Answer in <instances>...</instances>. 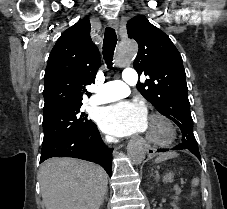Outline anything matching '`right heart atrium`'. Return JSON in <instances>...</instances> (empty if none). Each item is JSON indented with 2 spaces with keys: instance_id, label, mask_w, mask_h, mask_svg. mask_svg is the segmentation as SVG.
I'll use <instances>...</instances> for the list:
<instances>
[{
  "instance_id": "right-heart-atrium-1",
  "label": "right heart atrium",
  "mask_w": 227,
  "mask_h": 209,
  "mask_svg": "<svg viewBox=\"0 0 227 209\" xmlns=\"http://www.w3.org/2000/svg\"><path fill=\"white\" fill-rule=\"evenodd\" d=\"M106 142L109 143V144H112V143H115L116 142V139L113 138V137H107L106 138Z\"/></svg>"
}]
</instances>
